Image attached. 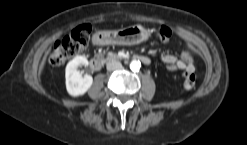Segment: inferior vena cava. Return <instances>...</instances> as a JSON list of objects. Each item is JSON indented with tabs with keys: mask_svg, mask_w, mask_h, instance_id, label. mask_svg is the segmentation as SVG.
<instances>
[{
	"mask_svg": "<svg viewBox=\"0 0 247 145\" xmlns=\"http://www.w3.org/2000/svg\"><path fill=\"white\" fill-rule=\"evenodd\" d=\"M106 67L108 71H114V70H119L122 67V64L117 60H112L107 63Z\"/></svg>",
	"mask_w": 247,
	"mask_h": 145,
	"instance_id": "inferior-vena-cava-1",
	"label": "inferior vena cava"
}]
</instances>
